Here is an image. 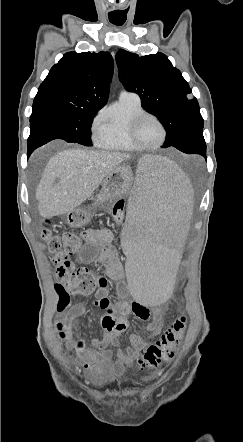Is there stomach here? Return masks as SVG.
I'll return each instance as SVG.
<instances>
[{
    "mask_svg": "<svg viewBox=\"0 0 243 442\" xmlns=\"http://www.w3.org/2000/svg\"><path fill=\"white\" fill-rule=\"evenodd\" d=\"M162 158V157H161ZM133 181L132 170L127 165L116 167L105 179L100 193L92 207H77L66 213L64 219L70 227H81L87 224L93 216V209L99 204L126 195Z\"/></svg>",
    "mask_w": 243,
    "mask_h": 442,
    "instance_id": "1",
    "label": "stomach"
}]
</instances>
